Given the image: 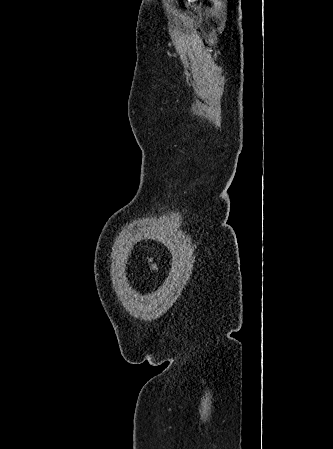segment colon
<instances>
[{
    "instance_id": "colon-1",
    "label": "colon",
    "mask_w": 333,
    "mask_h": 449,
    "mask_svg": "<svg viewBox=\"0 0 333 449\" xmlns=\"http://www.w3.org/2000/svg\"><path fill=\"white\" fill-rule=\"evenodd\" d=\"M146 264L148 267V272H149L150 276L152 277L157 271V265L154 262L153 258L150 256L146 257Z\"/></svg>"
}]
</instances>
